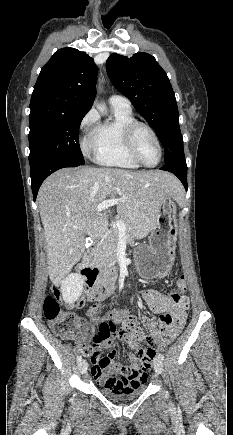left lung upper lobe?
I'll list each match as a JSON object with an SVG mask.
<instances>
[{
	"mask_svg": "<svg viewBox=\"0 0 233 435\" xmlns=\"http://www.w3.org/2000/svg\"><path fill=\"white\" fill-rule=\"evenodd\" d=\"M112 84L125 95L157 133L165 163L184 156L179 113L169 78L156 59L139 52L131 58L112 54L106 62Z\"/></svg>",
	"mask_w": 233,
	"mask_h": 435,
	"instance_id": "5c2ea615",
	"label": "left lung upper lobe"
}]
</instances>
